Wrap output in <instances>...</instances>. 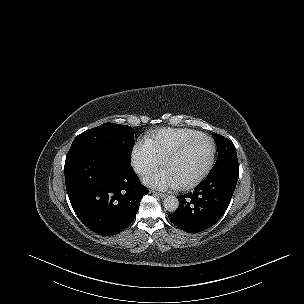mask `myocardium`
I'll use <instances>...</instances> for the list:
<instances>
[{"label":"myocardium","instance_id":"f54148a6","mask_svg":"<svg viewBox=\"0 0 304 304\" xmlns=\"http://www.w3.org/2000/svg\"><path fill=\"white\" fill-rule=\"evenodd\" d=\"M202 140H208L211 143V154L210 158L203 168V170L191 181L180 183L178 184V188L180 189H189L196 185H198L209 173V171L212 168V165L214 163L215 154H216V144L214 140L208 136V135H199L183 144L178 146L176 149H174L164 160L163 162V170L167 172V168L171 161H173L175 158H177L179 155H181L184 151H186L191 146L195 145L196 143L202 141Z\"/></svg>","mask_w":304,"mask_h":304}]
</instances>
